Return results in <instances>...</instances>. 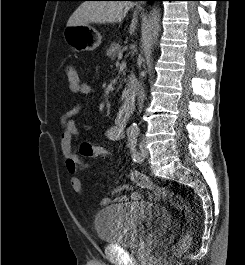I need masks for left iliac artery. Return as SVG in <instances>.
Segmentation results:
<instances>
[{"instance_id": "1", "label": "left iliac artery", "mask_w": 245, "mask_h": 265, "mask_svg": "<svg viewBox=\"0 0 245 265\" xmlns=\"http://www.w3.org/2000/svg\"><path fill=\"white\" fill-rule=\"evenodd\" d=\"M137 144V134L130 135L128 138V147L131 151V156L134 162L141 161V155L136 149Z\"/></svg>"}]
</instances>
